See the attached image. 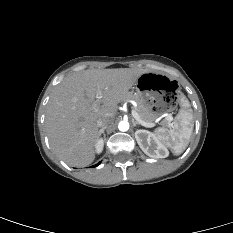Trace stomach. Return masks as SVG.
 I'll list each match as a JSON object with an SVG mask.
<instances>
[{
    "mask_svg": "<svg viewBox=\"0 0 233 233\" xmlns=\"http://www.w3.org/2000/svg\"><path fill=\"white\" fill-rule=\"evenodd\" d=\"M136 95L150 106L152 113L160 118L170 116L179 100V81L162 73L147 71L139 76L135 86Z\"/></svg>",
    "mask_w": 233,
    "mask_h": 233,
    "instance_id": "obj_1",
    "label": "stomach"
}]
</instances>
